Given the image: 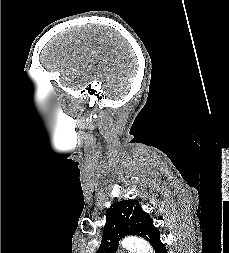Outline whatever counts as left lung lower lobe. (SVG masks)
I'll use <instances>...</instances> for the list:
<instances>
[{"mask_svg":"<svg viewBox=\"0 0 229 253\" xmlns=\"http://www.w3.org/2000/svg\"><path fill=\"white\" fill-rule=\"evenodd\" d=\"M153 248L155 250V253H167L166 247L161 242V240H159Z\"/></svg>","mask_w":229,"mask_h":253,"instance_id":"left-lung-lower-lobe-1","label":"left lung lower lobe"}]
</instances>
